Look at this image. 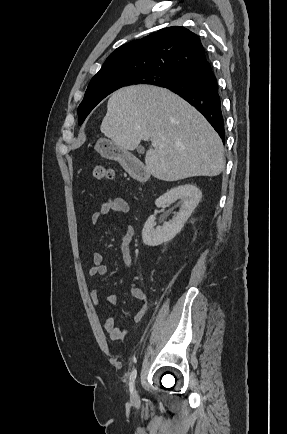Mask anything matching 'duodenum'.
I'll return each mask as SVG.
<instances>
[{
	"label": "duodenum",
	"mask_w": 287,
	"mask_h": 434,
	"mask_svg": "<svg viewBox=\"0 0 287 434\" xmlns=\"http://www.w3.org/2000/svg\"><path fill=\"white\" fill-rule=\"evenodd\" d=\"M124 163L129 168L132 176L137 180H144L147 177L146 170L140 166L133 158L125 157Z\"/></svg>",
	"instance_id": "duodenum-1"
}]
</instances>
